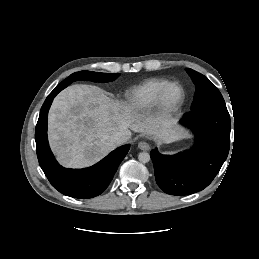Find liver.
<instances>
[{
	"instance_id": "1",
	"label": "liver",
	"mask_w": 259,
	"mask_h": 259,
	"mask_svg": "<svg viewBox=\"0 0 259 259\" xmlns=\"http://www.w3.org/2000/svg\"><path fill=\"white\" fill-rule=\"evenodd\" d=\"M173 124L172 120L139 114L99 87L76 84L54 99L48 117L49 143L63 166L82 168L116 147L109 137L117 132L125 134L127 140L133 131L170 143L176 138Z\"/></svg>"
}]
</instances>
